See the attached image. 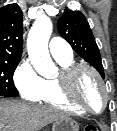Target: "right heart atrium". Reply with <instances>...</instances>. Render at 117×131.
Masks as SVG:
<instances>
[{
	"mask_svg": "<svg viewBox=\"0 0 117 131\" xmlns=\"http://www.w3.org/2000/svg\"><path fill=\"white\" fill-rule=\"evenodd\" d=\"M13 80L20 95L26 100L36 101L43 90L44 79L27 61L18 65Z\"/></svg>",
	"mask_w": 117,
	"mask_h": 131,
	"instance_id": "d8ad5b80",
	"label": "right heart atrium"
}]
</instances>
